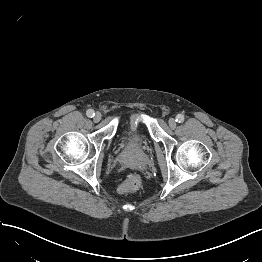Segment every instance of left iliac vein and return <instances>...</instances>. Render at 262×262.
I'll return each mask as SVG.
<instances>
[{
    "label": "left iliac vein",
    "mask_w": 262,
    "mask_h": 262,
    "mask_svg": "<svg viewBox=\"0 0 262 262\" xmlns=\"http://www.w3.org/2000/svg\"><path fill=\"white\" fill-rule=\"evenodd\" d=\"M176 125H177V122H176L175 119H173V118L169 119V127L170 128L174 129L176 127Z\"/></svg>",
    "instance_id": "obj_1"
}]
</instances>
